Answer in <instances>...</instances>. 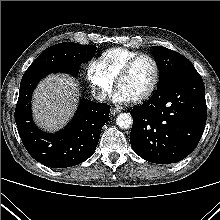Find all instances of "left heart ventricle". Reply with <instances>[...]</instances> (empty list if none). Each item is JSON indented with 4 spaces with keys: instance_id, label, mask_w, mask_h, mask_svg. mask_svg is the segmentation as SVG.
<instances>
[{
    "instance_id": "1",
    "label": "left heart ventricle",
    "mask_w": 220,
    "mask_h": 220,
    "mask_svg": "<svg viewBox=\"0 0 220 220\" xmlns=\"http://www.w3.org/2000/svg\"><path fill=\"white\" fill-rule=\"evenodd\" d=\"M153 77L154 66L152 62L147 58H141L120 81L118 88L134 100L150 87Z\"/></svg>"
}]
</instances>
